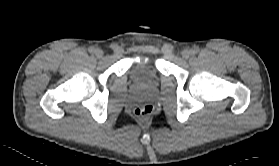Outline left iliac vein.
I'll return each instance as SVG.
<instances>
[{"label":"left iliac vein","mask_w":279,"mask_h":166,"mask_svg":"<svg viewBox=\"0 0 279 166\" xmlns=\"http://www.w3.org/2000/svg\"><path fill=\"white\" fill-rule=\"evenodd\" d=\"M191 56V52L189 50L182 51V57L188 59Z\"/></svg>","instance_id":"4c4485c4"}]
</instances>
